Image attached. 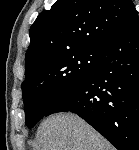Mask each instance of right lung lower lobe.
Wrapping results in <instances>:
<instances>
[{"mask_svg": "<svg viewBox=\"0 0 139 150\" xmlns=\"http://www.w3.org/2000/svg\"><path fill=\"white\" fill-rule=\"evenodd\" d=\"M72 112L118 150H139V17L104 46L87 78L58 100L45 116Z\"/></svg>", "mask_w": 139, "mask_h": 150, "instance_id": "98d812e1", "label": "right lung lower lobe"}]
</instances>
